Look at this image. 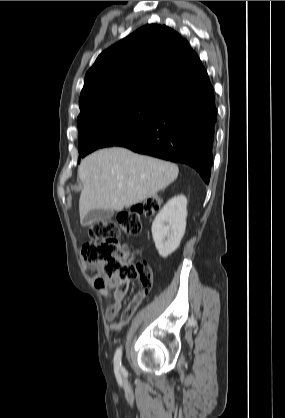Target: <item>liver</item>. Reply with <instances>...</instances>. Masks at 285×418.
I'll list each match as a JSON object with an SVG mask.
<instances>
[{"label": "liver", "mask_w": 285, "mask_h": 418, "mask_svg": "<svg viewBox=\"0 0 285 418\" xmlns=\"http://www.w3.org/2000/svg\"><path fill=\"white\" fill-rule=\"evenodd\" d=\"M176 164L136 154L126 148L98 150L82 160L79 199L81 219L93 209L121 211L142 202L171 184Z\"/></svg>", "instance_id": "6515ba94"}]
</instances>
